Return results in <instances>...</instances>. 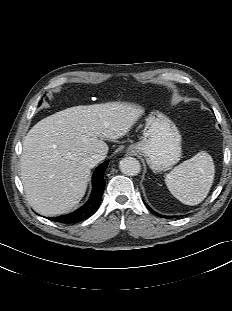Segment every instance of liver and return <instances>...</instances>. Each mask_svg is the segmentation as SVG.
<instances>
[{
    "label": "liver",
    "instance_id": "obj_1",
    "mask_svg": "<svg viewBox=\"0 0 232 311\" xmlns=\"http://www.w3.org/2000/svg\"><path fill=\"white\" fill-rule=\"evenodd\" d=\"M142 114L135 104L109 102L67 108L36 123L24 138L20 162L31 207L45 216L69 212L87 189L86 159L106 156L103 140L126 135Z\"/></svg>",
    "mask_w": 232,
    "mask_h": 311
}]
</instances>
